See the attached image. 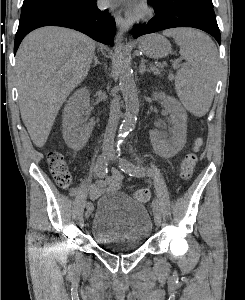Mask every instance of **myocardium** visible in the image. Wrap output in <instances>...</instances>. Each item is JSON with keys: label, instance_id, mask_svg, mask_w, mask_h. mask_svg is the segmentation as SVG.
Here are the masks:
<instances>
[{"label": "myocardium", "instance_id": "myocardium-1", "mask_svg": "<svg viewBox=\"0 0 245 300\" xmlns=\"http://www.w3.org/2000/svg\"><path fill=\"white\" fill-rule=\"evenodd\" d=\"M149 15L150 9L147 7V5L142 4L137 11L136 17L142 19L148 17Z\"/></svg>", "mask_w": 245, "mask_h": 300}]
</instances>
